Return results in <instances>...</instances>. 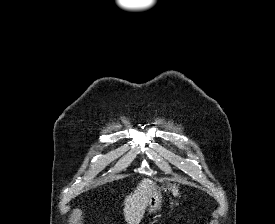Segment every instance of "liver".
<instances>
[{"mask_svg": "<svg viewBox=\"0 0 275 224\" xmlns=\"http://www.w3.org/2000/svg\"><path fill=\"white\" fill-rule=\"evenodd\" d=\"M154 186L150 179H143L134 192L126 196L123 212L127 224H139L141 222Z\"/></svg>", "mask_w": 275, "mask_h": 224, "instance_id": "6515ba94", "label": "liver"}]
</instances>
